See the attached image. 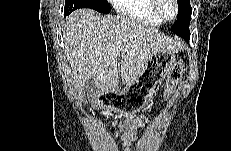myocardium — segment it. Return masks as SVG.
I'll list each match as a JSON object with an SVG mask.
<instances>
[{"mask_svg": "<svg viewBox=\"0 0 231 151\" xmlns=\"http://www.w3.org/2000/svg\"><path fill=\"white\" fill-rule=\"evenodd\" d=\"M163 1L164 0H152V10L153 13L156 15V17L162 21V22H171L173 20H175L178 16V12H179V8H178V1L176 0H169L173 6L174 9V13L171 17H165L162 14V5H163Z\"/></svg>", "mask_w": 231, "mask_h": 151, "instance_id": "1", "label": "myocardium"}]
</instances>
